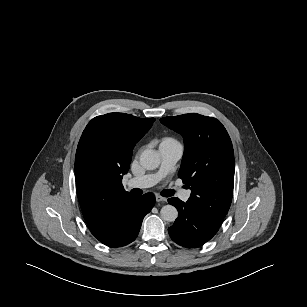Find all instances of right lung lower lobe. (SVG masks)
Instances as JSON below:
<instances>
[{"label": "right lung lower lobe", "instance_id": "1", "mask_svg": "<svg viewBox=\"0 0 307 307\" xmlns=\"http://www.w3.org/2000/svg\"><path fill=\"white\" fill-rule=\"evenodd\" d=\"M155 196L152 193L138 196L137 201L130 209L125 222L118 234L111 240L102 242L109 247H121L134 241L139 233L143 218L153 208Z\"/></svg>", "mask_w": 307, "mask_h": 307}]
</instances>
